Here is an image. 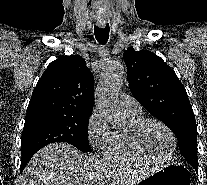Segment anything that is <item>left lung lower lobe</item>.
Returning <instances> with one entry per match:
<instances>
[{"label": "left lung lower lobe", "instance_id": "obj_1", "mask_svg": "<svg viewBox=\"0 0 207 185\" xmlns=\"http://www.w3.org/2000/svg\"><path fill=\"white\" fill-rule=\"evenodd\" d=\"M191 165L197 171L198 161L197 162H193Z\"/></svg>", "mask_w": 207, "mask_h": 185}]
</instances>
